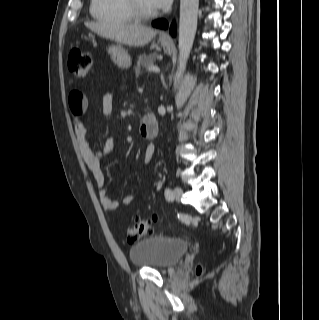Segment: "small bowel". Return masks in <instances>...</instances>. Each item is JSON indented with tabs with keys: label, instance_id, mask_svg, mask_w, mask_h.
Instances as JSON below:
<instances>
[{
	"label": "small bowel",
	"instance_id": "1",
	"mask_svg": "<svg viewBox=\"0 0 319 320\" xmlns=\"http://www.w3.org/2000/svg\"><path fill=\"white\" fill-rule=\"evenodd\" d=\"M102 113L104 115H110L114 109V97L112 94H105L102 98ZM69 107L74 118V127L77 137V145L81 154L82 160L87 169L91 173L95 184L99 189V199L102 207L105 210L113 211L119 206V202L108 194L105 187L104 175L101 170V158L104 155L111 153L114 149V142L111 139H107L102 151H98L92 148V143L88 135L87 128L82 120L87 107V99L84 93L79 90H74L69 95ZM154 153V146L148 145L144 153V161L149 163ZM135 195L129 194L122 198L121 203L123 205H130L135 200Z\"/></svg>",
	"mask_w": 319,
	"mask_h": 320
}]
</instances>
